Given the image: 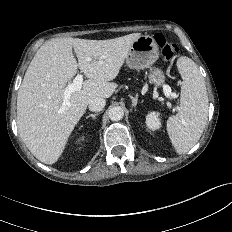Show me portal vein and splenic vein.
Masks as SVG:
<instances>
[{
	"label": "portal vein and splenic vein",
	"instance_id": "1",
	"mask_svg": "<svg viewBox=\"0 0 232 232\" xmlns=\"http://www.w3.org/2000/svg\"><path fill=\"white\" fill-rule=\"evenodd\" d=\"M82 84H83V75L77 74L73 82L65 87L63 93V104H62L63 108L70 105L69 99L71 97V94L80 90L82 88ZM163 92L165 97L168 98L169 100H172V98L174 97V94L172 93L171 87L169 85L163 86Z\"/></svg>",
	"mask_w": 232,
	"mask_h": 232
}]
</instances>
